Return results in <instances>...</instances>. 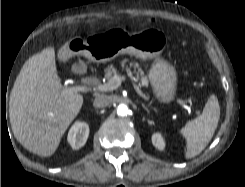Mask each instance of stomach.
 Returning a JSON list of instances; mask_svg holds the SVG:
<instances>
[{
    "instance_id": "stomach-1",
    "label": "stomach",
    "mask_w": 245,
    "mask_h": 187,
    "mask_svg": "<svg viewBox=\"0 0 245 187\" xmlns=\"http://www.w3.org/2000/svg\"><path fill=\"white\" fill-rule=\"evenodd\" d=\"M166 43V35L158 29L129 33L122 28H112L86 39L69 40L59 50V59L82 55L92 62L105 63L122 54L140 59L154 58L148 76L156 98L162 103H169L176 95L177 76L174 67L159 58Z\"/></svg>"
}]
</instances>
